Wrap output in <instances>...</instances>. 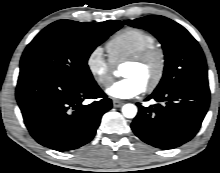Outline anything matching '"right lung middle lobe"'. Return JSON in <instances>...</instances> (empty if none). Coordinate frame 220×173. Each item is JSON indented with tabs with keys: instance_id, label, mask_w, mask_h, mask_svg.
<instances>
[{
	"instance_id": "right-lung-middle-lobe-1",
	"label": "right lung middle lobe",
	"mask_w": 220,
	"mask_h": 173,
	"mask_svg": "<svg viewBox=\"0 0 220 173\" xmlns=\"http://www.w3.org/2000/svg\"><path fill=\"white\" fill-rule=\"evenodd\" d=\"M122 25L118 20L101 23L56 21L26 47L20 74H48L76 84L92 82L94 79L87 65L90 54Z\"/></svg>"
}]
</instances>
